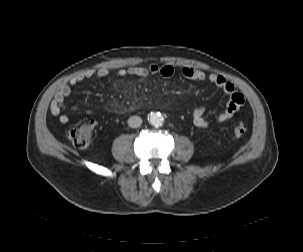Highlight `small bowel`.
I'll use <instances>...</instances> for the list:
<instances>
[{"label":"small bowel","mask_w":303,"mask_h":252,"mask_svg":"<svg viewBox=\"0 0 303 252\" xmlns=\"http://www.w3.org/2000/svg\"><path fill=\"white\" fill-rule=\"evenodd\" d=\"M176 73V68L171 64H153L149 67L143 66H131L126 69L110 70L107 68L99 69H87L76 76H74L69 82L63 84L55 93L50 103V113L53 116L58 117L61 124H67L69 122V116L64 112L63 102L70 96L72 88L84 80L92 77L105 78L110 75L118 77L134 76L139 78H145L148 75H161L163 77H170ZM181 73L184 77L192 80H203L207 79L218 88L222 89L228 96L229 102L226 108L219 113L216 117L210 119L205 116V109L199 107L192 112V122L196 127L208 128L227 122L244 104V95L238 91L237 87L226 79L224 76L211 73L205 74L204 72L192 69L182 68ZM77 110L78 107H74Z\"/></svg>","instance_id":"c3829d8e"}]
</instances>
